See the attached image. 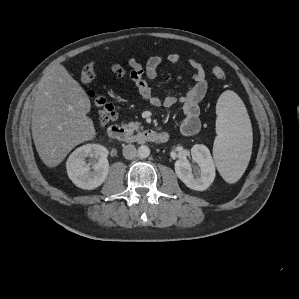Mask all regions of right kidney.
Wrapping results in <instances>:
<instances>
[{
	"label": "right kidney",
	"mask_w": 299,
	"mask_h": 299,
	"mask_svg": "<svg viewBox=\"0 0 299 299\" xmlns=\"http://www.w3.org/2000/svg\"><path fill=\"white\" fill-rule=\"evenodd\" d=\"M107 156V148L100 144H86L77 148L66 162L68 177L77 187L85 190L101 186L109 172ZM87 158L92 160L87 163Z\"/></svg>",
	"instance_id": "obj_1"
}]
</instances>
